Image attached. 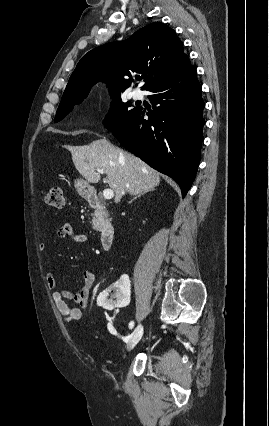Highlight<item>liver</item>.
I'll return each instance as SVG.
<instances>
[{
	"instance_id": "liver-1",
	"label": "liver",
	"mask_w": 269,
	"mask_h": 426,
	"mask_svg": "<svg viewBox=\"0 0 269 426\" xmlns=\"http://www.w3.org/2000/svg\"><path fill=\"white\" fill-rule=\"evenodd\" d=\"M78 172L90 183H98L103 170L107 183L115 192V203L125 193L148 192L160 183V174L134 155L117 148L106 139L70 148Z\"/></svg>"
}]
</instances>
